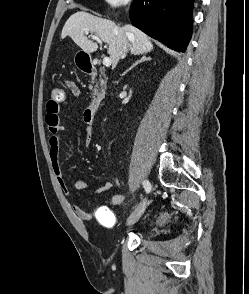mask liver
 <instances>
[{"mask_svg": "<svg viewBox=\"0 0 249 294\" xmlns=\"http://www.w3.org/2000/svg\"><path fill=\"white\" fill-rule=\"evenodd\" d=\"M93 32L108 44V54L112 67H116L124 48L131 54L140 55L153 50L150 38L132 25L117 26L114 22L96 17L85 11H78L66 21L61 37L71 39L86 53H93L98 49L97 43L89 40L85 33Z\"/></svg>", "mask_w": 249, "mask_h": 294, "instance_id": "1", "label": "liver"}]
</instances>
